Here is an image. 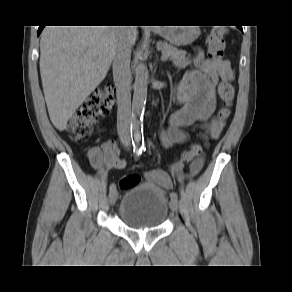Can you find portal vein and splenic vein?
I'll return each instance as SVG.
<instances>
[{
    "label": "portal vein and splenic vein",
    "instance_id": "18ae733b",
    "mask_svg": "<svg viewBox=\"0 0 292 292\" xmlns=\"http://www.w3.org/2000/svg\"><path fill=\"white\" fill-rule=\"evenodd\" d=\"M165 59H167V56L163 55V56L161 57V60H165Z\"/></svg>",
    "mask_w": 292,
    "mask_h": 292
}]
</instances>
